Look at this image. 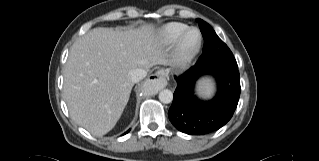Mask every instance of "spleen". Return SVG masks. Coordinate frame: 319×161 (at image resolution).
<instances>
[{"mask_svg": "<svg viewBox=\"0 0 319 161\" xmlns=\"http://www.w3.org/2000/svg\"><path fill=\"white\" fill-rule=\"evenodd\" d=\"M201 92L205 95H209L211 92V85L207 82L202 83Z\"/></svg>", "mask_w": 319, "mask_h": 161, "instance_id": "spleen-1", "label": "spleen"}]
</instances>
